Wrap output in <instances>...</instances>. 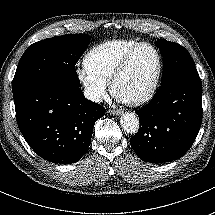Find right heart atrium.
Listing matches in <instances>:
<instances>
[{"instance_id":"d8ad5b80","label":"right heart atrium","mask_w":215,"mask_h":215,"mask_svg":"<svg viewBox=\"0 0 215 215\" xmlns=\"http://www.w3.org/2000/svg\"><path fill=\"white\" fill-rule=\"evenodd\" d=\"M76 75L78 82L83 88L85 96L89 101L99 103L106 97V83L90 76L84 69H78Z\"/></svg>"}]
</instances>
